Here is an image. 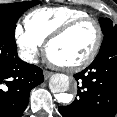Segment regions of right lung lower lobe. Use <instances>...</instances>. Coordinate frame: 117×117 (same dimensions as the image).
<instances>
[{"label": "right lung lower lobe", "mask_w": 117, "mask_h": 117, "mask_svg": "<svg viewBox=\"0 0 117 117\" xmlns=\"http://www.w3.org/2000/svg\"><path fill=\"white\" fill-rule=\"evenodd\" d=\"M43 80L41 68L19 59L15 37L0 31V117H21L31 89Z\"/></svg>", "instance_id": "obj_1"}]
</instances>
